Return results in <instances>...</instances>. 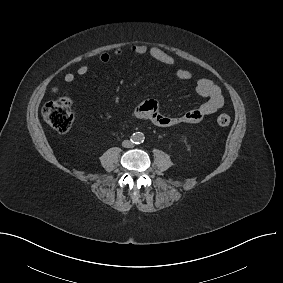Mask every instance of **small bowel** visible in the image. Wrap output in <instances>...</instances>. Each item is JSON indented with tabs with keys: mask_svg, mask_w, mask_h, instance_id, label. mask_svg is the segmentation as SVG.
Returning <instances> with one entry per match:
<instances>
[{
	"mask_svg": "<svg viewBox=\"0 0 283 283\" xmlns=\"http://www.w3.org/2000/svg\"><path fill=\"white\" fill-rule=\"evenodd\" d=\"M136 55H149L154 60L165 65H174L175 59L161 48L135 44L130 48ZM123 54L121 49H116L113 53L104 52L99 56L101 64L109 63L114 57ZM89 72L86 65L80 66L76 73H67L64 77L66 83H73L76 76H85ZM176 77L182 81H188L192 78V73L187 69H178ZM195 91L206 101L197 108L189 110L180 117H171L161 113L158 102L154 99H148L141 102L134 110L133 115L141 120L148 121L159 127H171L179 124H194L202 121L206 116L211 115L221 109L224 105V97L221 89L212 80L201 78L195 82Z\"/></svg>",
	"mask_w": 283,
	"mask_h": 283,
	"instance_id": "obj_1",
	"label": "small bowel"
}]
</instances>
